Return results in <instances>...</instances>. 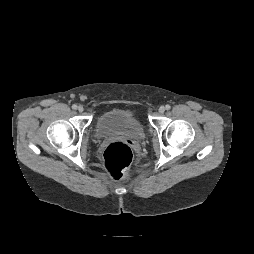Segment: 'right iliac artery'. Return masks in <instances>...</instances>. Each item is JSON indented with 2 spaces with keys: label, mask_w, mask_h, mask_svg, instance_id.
Wrapping results in <instances>:
<instances>
[{
  "label": "right iliac artery",
  "mask_w": 254,
  "mask_h": 254,
  "mask_svg": "<svg viewBox=\"0 0 254 254\" xmlns=\"http://www.w3.org/2000/svg\"><path fill=\"white\" fill-rule=\"evenodd\" d=\"M72 109H74V110L77 109V105H75V104L72 105Z\"/></svg>",
  "instance_id": "82829eb1"
}]
</instances>
